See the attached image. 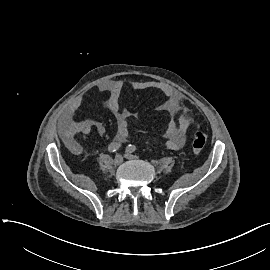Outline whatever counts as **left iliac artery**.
I'll use <instances>...</instances> for the list:
<instances>
[{"instance_id": "obj_1", "label": "left iliac artery", "mask_w": 270, "mask_h": 270, "mask_svg": "<svg viewBox=\"0 0 270 270\" xmlns=\"http://www.w3.org/2000/svg\"><path fill=\"white\" fill-rule=\"evenodd\" d=\"M136 150V146L135 145H128L127 147H126V152H129V153H132V152H134Z\"/></svg>"}]
</instances>
